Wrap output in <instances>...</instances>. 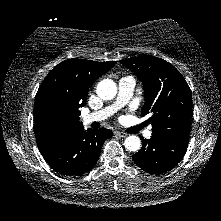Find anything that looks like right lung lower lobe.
<instances>
[{"instance_id":"right-lung-lower-lobe-1","label":"right lung lower lobe","mask_w":221,"mask_h":221,"mask_svg":"<svg viewBox=\"0 0 221 221\" xmlns=\"http://www.w3.org/2000/svg\"><path fill=\"white\" fill-rule=\"evenodd\" d=\"M113 132L104 128L75 131L43 155L46 162L62 175L80 176L93 168L99 159L102 143Z\"/></svg>"}]
</instances>
